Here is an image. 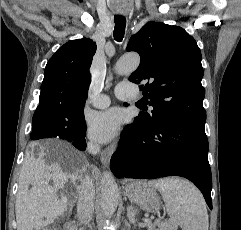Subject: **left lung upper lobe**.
Returning a JSON list of instances; mask_svg holds the SVG:
<instances>
[{"mask_svg": "<svg viewBox=\"0 0 241 230\" xmlns=\"http://www.w3.org/2000/svg\"><path fill=\"white\" fill-rule=\"evenodd\" d=\"M127 50L141 57L129 80L141 84L153 107L151 114L139 113V122L151 129L167 118L205 124L201 51L192 36L179 26L149 22L131 37Z\"/></svg>", "mask_w": 241, "mask_h": 230, "instance_id": "left-lung-upper-lobe-1", "label": "left lung upper lobe"}]
</instances>
